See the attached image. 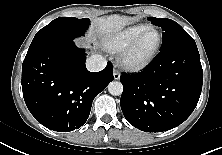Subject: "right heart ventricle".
<instances>
[{"label": "right heart ventricle", "mask_w": 222, "mask_h": 155, "mask_svg": "<svg viewBox=\"0 0 222 155\" xmlns=\"http://www.w3.org/2000/svg\"><path fill=\"white\" fill-rule=\"evenodd\" d=\"M149 28L151 25L146 23L127 26L110 35L105 40V46L110 51H121Z\"/></svg>", "instance_id": "right-heart-ventricle-1"}]
</instances>
